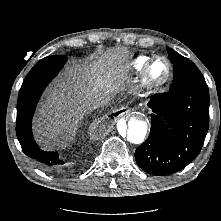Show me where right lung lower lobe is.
<instances>
[{"mask_svg":"<svg viewBox=\"0 0 221 221\" xmlns=\"http://www.w3.org/2000/svg\"><path fill=\"white\" fill-rule=\"evenodd\" d=\"M67 58L63 55L45 57L40 60L25 78L17 101L16 134L23 152L45 171L65 173L67 160L57 152H44L35 143L31 121L36 104L47 86L57 75Z\"/></svg>","mask_w":221,"mask_h":221,"instance_id":"right-lung-lower-lobe-1","label":"right lung lower lobe"}]
</instances>
